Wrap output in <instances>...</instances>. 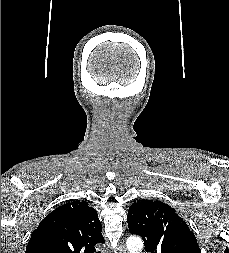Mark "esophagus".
<instances>
[{
	"mask_svg": "<svg viewBox=\"0 0 229 253\" xmlns=\"http://www.w3.org/2000/svg\"><path fill=\"white\" fill-rule=\"evenodd\" d=\"M119 253H126V252H124V251L120 250V251H119Z\"/></svg>",
	"mask_w": 229,
	"mask_h": 253,
	"instance_id": "34e87169",
	"label": "esophagus"
}]
</instances>
